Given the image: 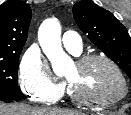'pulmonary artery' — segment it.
<instances>
[{
	"mask_svg": "<svg viewBox=\"0 0 131 115\" xmlns=\"http://www.w3.org/2000/svg\"><path fill=\"white\" fill-rule=\"evenodd\" d=\"M62 43L67 50L75 55L82 52V39L76 32H65L62 36Z\"/></svg>",
	"mask_w": 131,
	"mask_h": 115,
	"instance_id": "e3ab8cb5",
	"label": "pulmonary artery"
}]
</instances>
